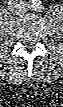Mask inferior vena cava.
<instances>
[{"mask_svg":"<svg viewBox=\"0 0 63 107\" xmlns=\"http://www.w3.org/2000/svg\"><path fill=\"white\" fill-rule=\"evenodd\" d=\"M10 10L14 14H23L27 11V8H26V4H24L23 2H15L10 6Z\"/></svg>","mask_w":63,"mask_h":107,"instance_id":"inferior-vena-cava-1","label":"inferior vena cava"}]
</instances>
